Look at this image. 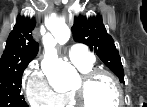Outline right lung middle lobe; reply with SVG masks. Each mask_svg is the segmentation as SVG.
<instances>
[{
	"label": "right lung middle lobe",
	"mask_w": 147,
	"mask_h": 107,
	"mask_svg": "<svg viewBox=\"0 0 147 107\" xmlns=\"http://www.w3.org/2000/svg\"><path fill=\"white\" fill-rule=\"evenodd\" d=\"M26 67L0 75V107H29L20 94L22 74Z\"/></svg>",
	"instance_id": "right-lung-middle-lobe-1"
}]
</instances>
